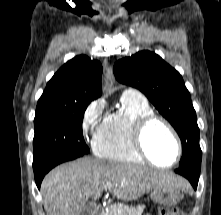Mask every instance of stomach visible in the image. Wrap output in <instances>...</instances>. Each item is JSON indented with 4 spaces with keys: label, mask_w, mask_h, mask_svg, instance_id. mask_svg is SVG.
<instances>
[{
    "label": "stomach",
    "mask_w": 221,
    "mask_h": 215,
    "mask_svg": "<svg viewBox=\"0 0 221 215\" xmlns=\"http://www.w3.org/2000/svg\"><path fill=\"white\" fill-rule=\"evenodd\" d=\"M149 198L156 204L173 206L181 200L182 195L179 188L163 186L152 189L149 192Z\"/></svg>",
    "instance_id": "obj_1"
}]
</instances>
